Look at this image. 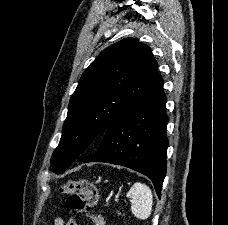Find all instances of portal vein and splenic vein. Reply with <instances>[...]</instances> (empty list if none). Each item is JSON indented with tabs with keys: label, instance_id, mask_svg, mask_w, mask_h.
<instances>
[{
	"label": "portal vein and splenic vein",
	"instance_id": "obj_1",
	"mask_svg": "<svg viewBox=\"0 0 228 225\" xmlns=\"http://www.w3.org/2000/svg\"><path fill=\"white\" fill-rule=\"evenodd\" d=\"M115 201L116 202H121V197H116ZM105 207H110V202H105Z\"/></svg>",
	"mask_w": 228,
	"mask_h": 225
}]
</instances>
